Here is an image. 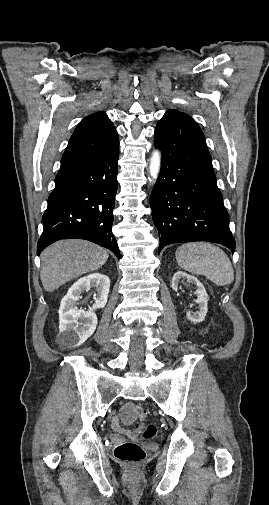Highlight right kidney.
I'll return each mask as SVG.
<instances>
[{"label": "right kidney", "instance_id": "obj_1", "mask_svg": "<svg viewBox=\"0 0 269 505\" xmlns=\"http://www.w3.org/2000/svg\"><path fill=\"white\" fill-rule=\"evenodd\" d=\"M94 288V304L88 311L77 308L82 293ZM110 279L101 273H93L77 280L68 290L59 308L60 340L63 344L80 346L95 331V310L103 308L108 299Z\"/></svg>", "mask_w": 269, "mask_h": 505}]
</instances>
